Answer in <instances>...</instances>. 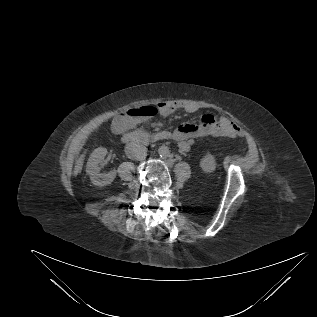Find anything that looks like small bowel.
I'll use <instances>...</instances> for the list:
<instances>
[{
    "instance_id": "small-bowel-1",
    "label": "small bowel",
    "mask_w": 317,
    "mask_h": 317,
    "mask_svg": "<svg viewBox=\"0 0 317 317\" xmlns=\"http://www.w3.org/2000/svg\"><path fill=\"white\" fill-rule=\"evenodd\" d=\"M162 116L183 110L187 113H195L199 110L197 104L192 101H160L157 103ZM137 123L132 118H123L118 122L121 129H129ZM240 128L234 125L226 116H220L217 120L213 115L205 113L199 123H183L174 131V140L182 152H188L191 148L192 139L202 136H236Z\"/></svg>"
}]
</instances>
